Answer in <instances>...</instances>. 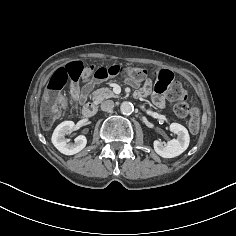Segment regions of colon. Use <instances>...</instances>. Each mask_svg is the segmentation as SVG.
Wrapping results in <instances>:
<instances>
[{
    "mask_svg": "<svg viewBox=\"0 0 236 236\" xmlns=\"http://www.w3.org/2000/svg\"><path fill=\"white\" fill-rule=\"evenodd\" d=\"M146 75L145 69L130 65L95 68L93 65H84L79 61L71 62L65 67L57 69L49 79L41 106V124L48 129L60 116L65 107L64 98L60 92L67 84H71L72 89L76 90L80 80L88 81L91 78L105 80L114 76H121L127 81L139 83L145 79ZM173 77L171 71L162 70L158 81L155 83L154 90L158 93L167 92V97L175 102V114L182 118L189 116V130L192 134H197L200 128L199 110L188 104L186 90L181 84L173 83Z\"/></svg>",
    "mask_w": 236,
    "mask_h": 236,
    "instance_id": "obj_1",
    "label": "colon"
}]
</instances>
